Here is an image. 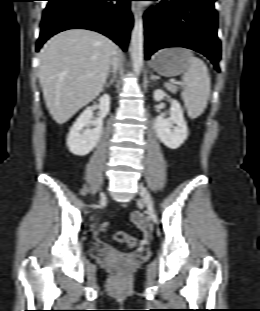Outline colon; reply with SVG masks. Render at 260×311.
<instances>
[{
  "instance_id": "1",
  "label": "colon",
  "mask_w": 260,
  "mask_h": 311,
  "mask_svg": "<svg viewBox=\"0 0 260 311\" xmlns=\"http://www.w3.org/2000/svg\"><path fill=\"white\" fill-rule=\"evenodd\" d=\"M109 228L108 222H103L101 224V230L106 231ZM113 239L116 242L125 243L128 247L134 248L137 245V239L133 236L128 235L123 231H118L114 234Z\"/></svg>"
}]
</instances>
